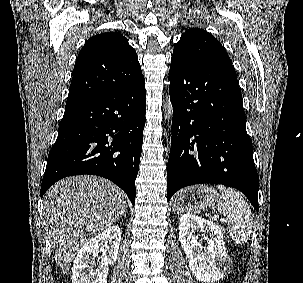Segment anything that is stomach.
<instances>
[{
    "mask_svg": "<svg viewBox=\"0 0 303 283\" xmlns=\"http://www.w3.org/2000/svg\"><path fill=\"white\" fill-rule=\"evenodd\" d=\"M219 199L217 192L209 186L198 185L187 187L179 191L173 201V210L176 213H200L214 207Z\"/></svg>",
    "mask_w": 303,
    "mask_h": 283,
    "instance_id": "stomach-1",
    "label": "stomach"
}]
</instances>
